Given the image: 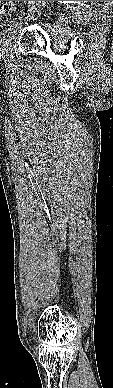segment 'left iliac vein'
<instances>
[{"label":"left iliac vein","instance_id":"1","mask_svg":"<svg viewBox=\"0 0 113 388\" xmlns=\"http://www.w3.org/2000/svg\"><path fill=\"white\" fill-rule=\"evenodd\" d=\"M18 30H19V24L12 26L11 31L9 32L7 39L5 40L0 50L2 55H6L10 51L12 44L16 40V35L18 33Z\"/></svg>","mask_w":113,"mask_h":388}]
</instances>
